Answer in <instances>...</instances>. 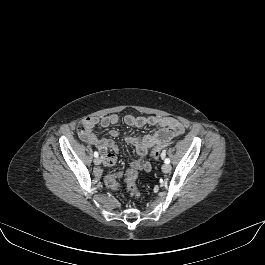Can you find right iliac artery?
<instances>
[{
  "mask_svg": "<svg viewBox=\"0 0 265 265\" xmlns=\"http://www.w3.org/2000/svg\"><path fill=\"white\" fill-rule=\"evenodd\" d=\"M98 155H99L98 152L95 151L94 152V157H98Z\"/></svg>",
  "mask_w": 265,
  "mask_h": 265,
  "instance_id": "82829eb1",
  "label": "right iliac artery"
}]
</instances>
